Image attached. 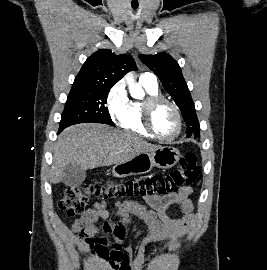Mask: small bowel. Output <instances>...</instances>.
Listing matches in <instances>:
<instances>
[{"label":"small bowel","instance_id":"small-bowel-1","mask_svg":"<svg viewBox=\"0 0 267 270\" xmlns=\"http://www.w3.org/2000/svg\"><path fill=\"white\" fill-rule=\"evenodd\" d=\"M192 189L190 187L179 192L169 194L163 197H150L149 202L154 210H148L142 206L128 202H115L116 214L122 221L118 225L104 224L100 229L96 227L98 220H106L109 216L106 210L105 202H96L92 209L76 218L72 224V230L75 233L94 235L101 232L100 238L103 245L110 246L105 258L106 264L112 268V259L119 255H125L127 258V270H146V247L155 242L176 241L181 238L191 226L193 215V203L190 199ZM178 207L183 213L182 218L174 217L170 214L171 207ZM135 216L141 219L147 226L136 254L133 256V239H129L125 245L128 256L122 249V239L124 238L130 218ZM167 264L168 259L157 257L151 261V266L158 267Z\"/></svg>","mask_w":267,"mask_h":270}]
</instances>
